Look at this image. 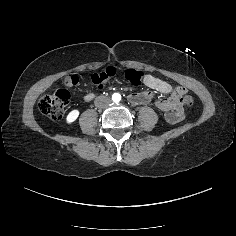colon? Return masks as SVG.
Listing matches in <instances>:
<instances>
[{"mask_svg":"<svg viewBox=\"0 0 236 236\" xmlns=\"http://www.w3.org/2000/svg\"><path fill=\"white\" fill-rule=\"evenodd\" d=\"M116 74V70L113 67H108L104 71L92 74L88 81L92 85L103 88L108 84ZM127 80L133 85H139L143 80V73L129 69L126 71ZM80 82L78 74L72 73L65 78V87L57 88L53 93L43 95L38 102V108L40 112L52 119H61L64 115L66 106L69 103L70 93L69 88L75 87ZM176 95L181 104L191 106L193 104V97L184 88H178Z\"/></svg>","mask_w":236,"mask_h":236,"instance_id":"1","label":"colon"}]
</instances>
